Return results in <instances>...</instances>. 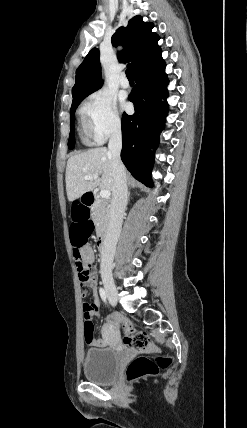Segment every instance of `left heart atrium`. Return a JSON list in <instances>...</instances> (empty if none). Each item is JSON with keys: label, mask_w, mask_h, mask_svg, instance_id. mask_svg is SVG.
Segmentation results:
<instances>
[{"label": "left heart atrium", "mask_w": 247, "mask_h": 428, "mask_svg": "<svg viewBox=\"0 0 247 428\" xmlns=\"http://www.w3.org/2000/svg\"><path fill=\"white\" fill-rule=\"evenodd\" d=\"M122 107H123V108H126V107H127V105H126L125 103H123V104H122Z\"/></svg>", "instance_id": "1"}]
</instances>
